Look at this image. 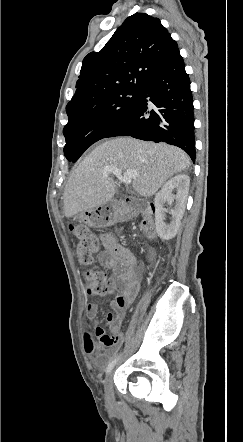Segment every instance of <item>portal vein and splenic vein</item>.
<instances>
[{
    "label": "portal vein and splenic vein",
    "instance_id": "obj_1",
    "mask_svg": "<svg viewBox=\"0 0 243 442\" xmlns=\"http://www.w3.org/2000/svg\"><path fill=\"white\" fill-rule=\"evenodd\" d=\"M114 174L120 181L130 184L132 179H136L138 173L136 170H127L123 173L117 167L107 166L103 170V176L108 177L109 174Z\"/></svg>",
    "mask_w": 243,
    "mask_h": 442
}]
</instances>
